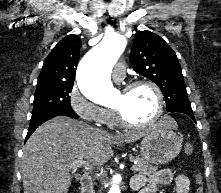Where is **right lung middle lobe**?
Segmentation results:
<instances>
[{
    "label": "right lung middle lobe",
    "instance_id": "dd1d6c3e",
    "mask_svg": "<svg viewBox=\"0 0 221 193\" xmlns=\"http://www.w3.org/2000/svg\"><path fill=\"white\" fill-rule=\"evenodd\" d=\"M73 84L37 85L32 116L52 110H73L69 93Z\"/></svg>",
    "mask_w": 221,
    "mask_h": 193
}]
</instances>
